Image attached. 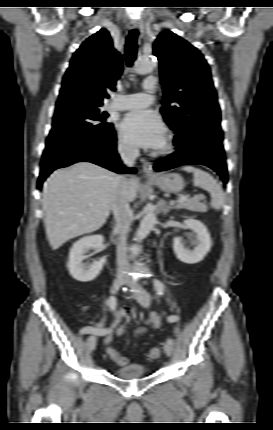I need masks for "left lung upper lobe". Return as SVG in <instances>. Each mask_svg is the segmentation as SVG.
I'll use <instances>...</instances> for the list:
<instances>
[{"instance_id": "obj_1", "label": "left lung upper lobe", "mask_w": 273, "mask_h": 430, "mask_svg": "<svg viewBox=\"0 0 273 430\" xmlns=\"http://www.w3.org/2000/svg\"><path fill=\"white\" fill-rule=\"evenodd\" d=\"M164 91L161 113L176 135L202 117L220 121L210 69L200 51L169 30L153 46Z\"/></svg>"}]
</instances>
